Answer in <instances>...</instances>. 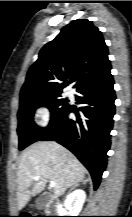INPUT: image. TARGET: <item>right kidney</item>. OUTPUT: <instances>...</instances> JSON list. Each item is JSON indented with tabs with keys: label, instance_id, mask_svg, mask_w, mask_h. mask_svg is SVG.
<instances>
[{
	"label": "right kidney",
	"instance_id": "right-kidney-1",
	"mask_svg": "<svg viewBox=\"0 0 132 217\" xmlns=\"http://www.w3.org/2000/svg\"><path fill=\"white\" fill-rule=\"evenodd\" d=\"M86 194L84 190L78 189L68 195L64 202L65 208L69 211V216H78L85 202Z\"/></svg>",
	"mask_w": 132,
	"mask_h": 217
}]
</instances>
